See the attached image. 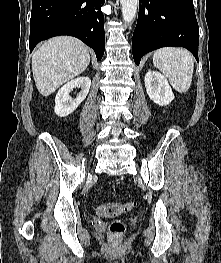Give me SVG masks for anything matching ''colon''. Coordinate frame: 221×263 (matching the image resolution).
<instances>
[{
	"instance_id": "5ec220e1",
	"label": "colon",
	"mask_w": 221,
	"mask_h": 263,
	"mask_svg": "<svg viewBox=\"0 0 221 263\" xmlns=\"http://www.w3.org/2000/svg\"><path fill=\"white\" fill-rule=\"evenodd\" d=\"M132 202L128 203H103L97 213L101 217L112 218L124 212H128L133 208ZM125 232V224L122 221H114L109 226V237L113 241H119Z\"/></svg>"
}]
</instances>
